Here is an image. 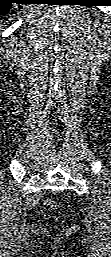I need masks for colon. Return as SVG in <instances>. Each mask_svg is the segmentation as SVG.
<instances>
[{
	"mask_svg": "<svg viewBox=\"0 0 111 257\" xmlns=\"http://www.w3.org/2000/svg\"><path fill=\"white\" fill-rule=\"evenodd\" d=\"M48 204L52 205V202H51V201H48Z\"/></svg>",
	"mask_w": 111,
	"mask_h": 257,
	"instance_id": "obj_1",
	"label": "colon"
}]
</instances>
